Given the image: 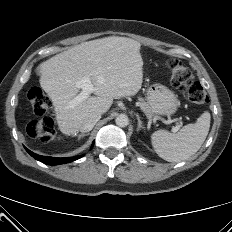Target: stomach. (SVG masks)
<instances>
[{
  "instance_id": "stomach-1",
  "label": "stomach",
  "mask_w": 232,
  "mask_h": 232,
  "mask_svg": "<svg viewBox=\"0 0 232 232\" xmlns=\"http://www.w3.org/2000/svg\"><path fill=\"white\" fill-rule=\"evenodd\" d=\"M147 102L152 111L158 115L170 116L179 106L177 95L160 84H154L148 89Z\"/></svg>"
}]
</instances>
